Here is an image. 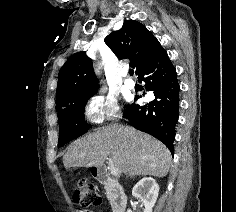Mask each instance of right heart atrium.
I'll return each mask as SVG.
<instances>
[{
  "label": "right heart atrium",
  "instance_id": "obj_1",
  "mask_svg": "<svg viewBox=\"0 0 236 212\" xmlns=\"http://www.w3.org/2000/svg\"><path fill=\"white\" fill-rule=\"evenodd\" d=\"M86 119L92 123H102L119 116V106L115 97L96 95L91 97L84 109Z\"/></svg>",
  "mask_w": 236,
  "mask_h": 212
}]
</instances>
